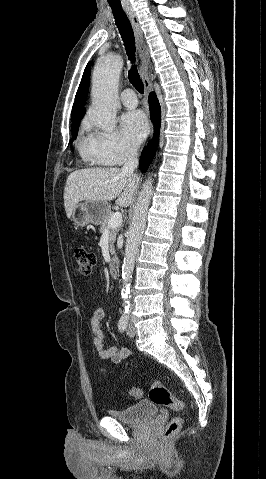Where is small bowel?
I'll use <instances>...</instances> for the list:
<instances>
[{
	"label": "small bowel",
	"instance_id": "c3829d8e",
	"mask_svg": "<svg viewBox=\"0 0 266 479\" xmlns=\"http://www.w3.org/2000/svg\"><path fill=\"white\" fill-rule=\"evenodd\" d=\"M104 310L97 308L91 318V328L94 335V347L99 356L103 359L120 363L130 355V351L126 348H118L117 346H107L104 339V332L101 321L104 318Z\"/></svg>",
	"mask_w": 266,
	"mask_h": 479
}]
</instances>
